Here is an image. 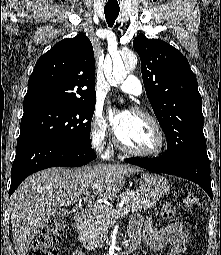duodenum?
Instances as JSON below:
<instances>
[{
	"mask_svg": "<svg viewBox=\"0 0 221 255\" xmlns=\"http://www.w3.org/2000/svg\"><path fill=\"white\" fill-rule=\"evenodd\" d=\"M74 222L82 230L85 236L90 235L91 233L90 220L85 213L83 212L76 213L74 215ZM139 245H140V240L138 238H132L130 240L128 247L125 250L119 252L117 255H133V253L136 251Z\"/></svg>",
	"mask_w": 221,
	"mask_h": 255,
	"instance_id": "410a0bca",
	"label": "duodenum"
}]
</instances>
